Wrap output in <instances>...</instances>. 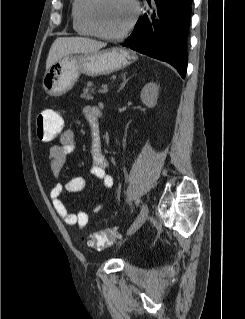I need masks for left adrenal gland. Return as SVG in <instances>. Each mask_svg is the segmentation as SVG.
Instances as JSON below:
<instances>
[{
    "label": "left adrenal gland",
    "instance_id": "obj_1",
    "mask_svg": "<svg viewBox=\"0 0 245 319\" xmlns=\"http://www.w3.org/2000/svg\"><path fill=\"white\" fill-rule=\"evenodd\" d=\"M122 79H123V82L121 83V85H120L118 91H120L121 89H123V87L126 85V83L128 82V80H129L130 78H126V73H124V74L122 75Z\"/></svg>",
    "mask_w": 245,
    "mask_h": 319
}]
</instances>
